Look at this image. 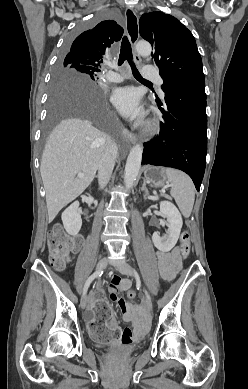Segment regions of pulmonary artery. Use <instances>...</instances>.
<instances>
[{"label":"pulmonary artery","instance_id":"1","mask_svg":"<svg viewBox=\"0 0 248 389\" xmlns=\"http://www.w3.org/2000/svg\"><path fill=\"white\" fill-rule=\"evenodd\" d=\"M143 75H144L145 79L148 81H154L159 85H161L163 83L162 78L159 75L153 73L149 66L143 67ZM104 78L110 82H121L123 80L122 75H120L116 72H113V71L106 72L104 74Z\"/></svg>","mask_w":248,"mask_h":389}]
</instances>
